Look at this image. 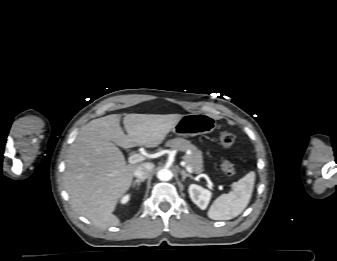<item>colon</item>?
<instances>
[{
    "instance_id": "obj_1",
    "label": "colon",
    "mask_w": 337,
    "mask_h": 261,
    "mask_svg": "<svg viewBox=\"0 0 337 261\" xmlns=\"http://www.w3.org/2000/svg\"><path fill=\"white\" fill-rule=\"evenodd\" d=\"M219 144L224 148L231 147L235 142V137L229 132H222L219 135ZM222 170L229 176H235L237 174L235 166L230 161H223L221 164Z\"/></svg>"
}]
</instances>
